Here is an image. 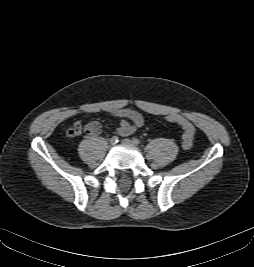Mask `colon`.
I'll list each match as a JSON object with an SVG mask.
<instances>
[{"mask_svg":"<svg viewBox=\"0 0 254 267\" xmlns=\"http://www.w3.org/2000/svg\"><path fill=\"white\" fill-rule=\"evenodd\" d=\"M167 121L171 123H175L181 126L183 130L182 134V145L185 149H190L193 147L194 144V134H195V128L193 124L184 118L183 116L179 114H169L166 116ZM81 132V129L73 127L68 129L67 133L69 136H76L79 135Z\"/></svg>","mask_w":254,"mask_h":267,"instance_id":"1","label":"colon"}]
</instances>
